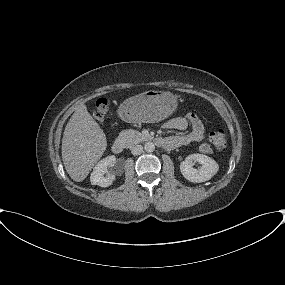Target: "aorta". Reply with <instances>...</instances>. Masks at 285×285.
<instances>
[{
    "label": "aorta",
    "mask_w": 285,
    "mask_h": 285,
    "mask_svg": "<svg viewBox=\"0 0 285 285\" xmlns=\"http://www.w3.org/2000/svg\"><path fill=\"white\" fill-rule=\"evenodd\" d=\"M144 149L146 152H153L155 150V145L153 142H146L144 145Z\"/></svg>",
    "instance_id": "762f6f07"
}]
</instances>
